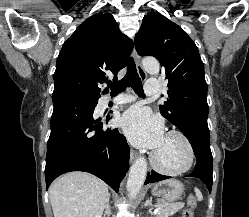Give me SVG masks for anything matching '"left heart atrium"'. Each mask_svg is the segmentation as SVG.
Wrapping results in <instances>:
<instances>
[{"instance_id": "39dd6f15", "label": "left heart atrium", "mask_w": 249, "mask_h": 217, "mask_svg": "<svg viewBox=\"0 0 249 217\" xmlns=\"http://www.w3.org/2000/svg\"><path fill=\"white\" fill-rule=\"evenodd\" d=\"M121 127L136 146L157 149L164 139L162 121L142 107H132L121 118Z\"/></svg>"}]
</instances>
